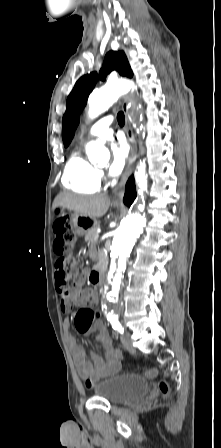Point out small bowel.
I'll return each mask as SVG.
<instances>
[{"label": "small bowel", "mask_w": 221, "mask_h": 448, "mask_svg": "<svg viewBox=\"0 0 221 448\" xmlns=\"http://www.w3.org/2000/svg\"><path fill=\"white\" fill-rule=\"evenodd\" d=\"M53 233L54 251L56 254H61V243L55 237L54 227ZM84 281V275L80 276L75 280L69 294L61 296V309L64 312H69L74 306L79 307V311L74 317L76 329L84 334L89 332L95 333V339L103 348L104 356L101 357L94 351H87L82 346L77 344L74 336L70 332L71 322L68 318L64 319L63 328L66 342L72 355L73 363L79 375L84 379L96 381L103 376L116 373L120 369L121 354L120 351L113 346L102 320L96 318L94 312L92 317L87 315V310H92V307L96 305L97 295L93 290L85 289L83 287ZM87 320H90V324L86 327ZM87 356H89V358Z\"/></svg>", "instance_id": "c3829d8e"}]
</instances>
